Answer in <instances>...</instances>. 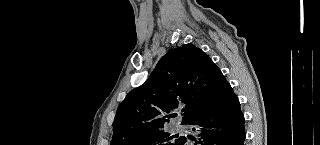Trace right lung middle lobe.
<instances>
[{
    "label": "right lung middle lobe",
    "instance_id": "dd1d6c3e",
    "mask_svg": "<svg viewBox=\"0 0 320 145\" xmlns=\"http://www.w3.org/2000/svg\"><path fill=\"white\" fill-rule=\"evenodd\" d=\"M180 140L181 137L170 136L163 130H159L144 136L132 145H179Z\"/></svg>",
    "mask_w": 320,
    "mask_h": 145
}]
</instances>
